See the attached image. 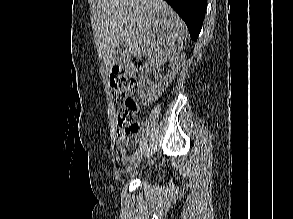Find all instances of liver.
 I'll use <instances>...</instances> for the list:
<instances>
[{
  "label": "liver",
  "instance_id": "6515ba94",
  "mask_svg": "<svg viewBox=\"0 0 293 219\" xmlns=\"http://www.w3.org/2000/svg\"><path fill=\"white\" fill-rule=\"evenodd\" d=\"M93 34L108 72L115 65L120 41L134 57L160 58L183 48L187 28L163 0H98Z\"/></svg>",
  "mask_w": 293,
  "mask_h": 219
}]
</instances>
